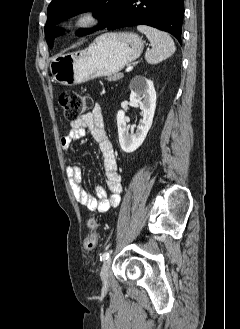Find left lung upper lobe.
I'll use <instances>...</instances> for the list:
<instances>
[{
	"mask_svg": "<svg viewBox=\"0 0 240 329\" xmlns=\"http://www.w3.org/2000/svg\"><path fill=\"white\" fill-rule=\"evenodd\" d=\"M125 0H52L47 10L45 37L50 48L54 39L63 34L55 25L82 12L92 11L100 21L97 28L78 30L77 36H84L106 27L122 8Z\"/></svg>",
	"mask_w": 240,
	"mask_h": 329,
	"instance_id": "5c2ea615",
	"label": "left lung upper lobe"
}]
</instances>
